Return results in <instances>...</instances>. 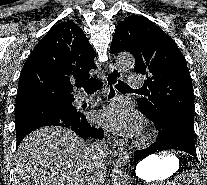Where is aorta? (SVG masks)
I'll list each match as a JSON object with an SVG mask.
<instances>
[{
    "label": "aorta",
    "instance_id": "aorta-1",
    "mask_svg": "<svg viewBox=\"0 0 207 185\" xmlns=\"http://www.w3.org/2000/svg\"><path fill=\"white\" fill-rule=\"evenodd\" d=\"M116 65L120 71H128L133 69L135 65L134 57L129 53L119 54L116 58ZM129 164L130 155L126 151L119 152L113 169L112 185H129Z\"/></svg>",
    "mask_w": 207,
    "mask_h": 185
}]
</instances>
